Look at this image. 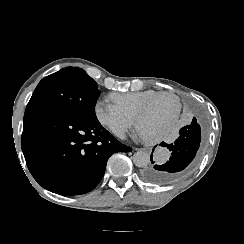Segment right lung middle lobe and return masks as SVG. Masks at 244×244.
Here are the masks:
<instances>
[{"instance_id": "obj_1", "label": "right lung middle lobe", "mask_w": 244, "mask_h": 244, "mask_svg": "<svg viewBox=\"0 0 244 244\" xmlns=\"http://www.w3.org/2000/svg\"><path fill=\"white\" fill-rule=\"evenodd\" d=\"M99 95L97 83L84 70L67 67L43 78L26 108H55L93 120Z\"/></svg>"}]
</instances>
